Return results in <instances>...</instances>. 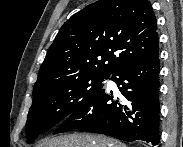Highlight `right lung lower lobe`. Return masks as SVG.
Masks as SVG:
<instances>
[{
  "label": "right lung lower lobe",
  "instance_id": "obj_1",
  "mask_svg": "<svg viewBox=\"0 0 183 147\" xmlns=\"http://www.w3.org/2000/svg\"><path fill=\"white\" fill-rule=\"evenodd\" d=\"M160 61L132 62L113 73L121 99L100 89L71 113L53 134L82 129L132 142L159 144Z\"/></svg>",
  "mask_w": 183,
  "mask_h": 147
}]
</instances>
